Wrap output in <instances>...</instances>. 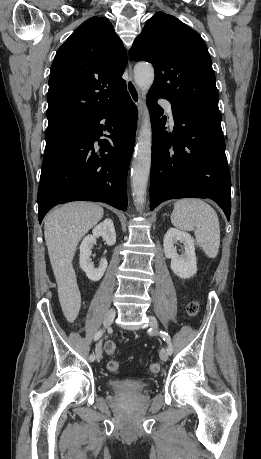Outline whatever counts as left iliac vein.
Here are the masks:
<instances>
[{
  "label": "left iliac vein",
  "mask_w": 261,
  "mask_h": 459,
  "mask_svg": "<svg viewBox=\"0 0 261 459\" xmlns=\"http://www.w3.org/2000/svg\"><path fill=\"white\" fill-rule=\"evenodd\" d=\"M149 326H150L152 329H154V330H157V329H158V322H157V320H156L155 317H152V316L149 317ZM159 355H160V358H161L162 361L165 362V361L168 360L169 354H168V352L166 351V349L162 348V349L160 350Z\"/></svg>",
  "instance_id": "4c4485c4"
}]
</instances>
